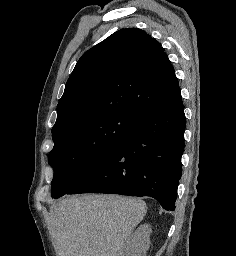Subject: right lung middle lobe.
I'll use <instances>...</instances> for the list:
<instances>
[{"instance_id": "obj_1", "label": "right lung middle lobe", "mask_w": 236, "mask_h": 256, "mask_svg": "<svg viewBox=\"0 0 236 256\" xmlns=\"http://www.w3.org/2000/svg\"><path fill=\"white\" fill-rule=\"evenodd\" d=\"M138 121L118 112L75 123L52 134L54 147L48 156L54 169L52 197L59 198L72 189Z\"/></svg>"}]
</instances>
